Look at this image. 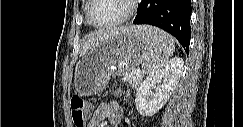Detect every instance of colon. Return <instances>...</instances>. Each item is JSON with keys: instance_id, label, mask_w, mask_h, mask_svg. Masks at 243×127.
<instances>
[{"instance_id": "obj_1", "label": "colon", "mask_w": 243, "mask_h": 127, "mask_svg": "<svg viewBox=\"0 0 243 127\" xmlns=\"http://www.w3.org/2000/svg\"><path fill=\"white\" fill-rule=\"evenodd\" d=\"M70 107L74 126L84 127L89 113L85 100L80 96H74L71 99Z\"/></svg>"}]
</instances>
